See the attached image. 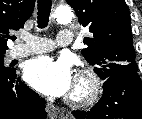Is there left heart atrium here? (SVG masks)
<instances>
[{"label": "left heart atrium", "instance_id": "obj_1", "mask_svg": "<svg viewBox=\"0 0 142 119\" xmlns=\"http://www.w3.org/2000/svg\"><path fill=\"white\" fill-rule=\"evenodd\" d=\"M25 80L37 91L51 96H62L73 87L70 66L48 56L30 60L24 69Z\"/></svg>", "mask_w": 142, "mask_h": 119}]
</instances>
